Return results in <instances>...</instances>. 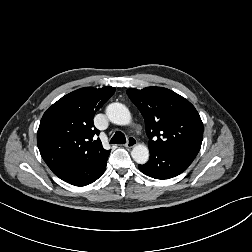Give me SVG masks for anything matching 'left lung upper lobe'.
<instances>
[{
	"label": "left lung upper lobe",
	"instance_id": "5c2ea615",
	"mask_svg": "<svg viewBox=\"0 0 252 252\" xmlns=\"http://www.w3.org/2000/svg\"><path fill=\"white\" fill-rule=\"evenodd\" d=\"M127 94L145 119L150 152L198 154L203 123L188 100L162 87L128 89Z\"/></svg>",
	"mask_w": 252,
	"mask_h": 252
}]
</instances>
